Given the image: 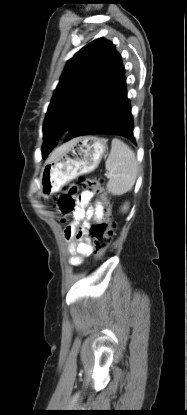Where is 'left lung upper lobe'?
<instances>
[{
    "instance_id": "5c2ea615",
    "label": "left lung upper lobe",
    "mask_w": 187,
    "mask_h": 415,
    "mask_svg": "<svg viewBox=\"0 0 187 415\" xmlns=\"http://www.w3.org/2000/svg\"><path fill=\"white\" fill-rule=\"evenodd\" d=\"M114 50L112 42L99 38L67 62L44 120L43 158L56 146L53 132L69 131L84 116L89 117L99 109L98 99H90V94Z\"/></svg>"
}]
</instances>
